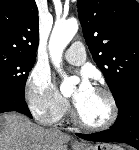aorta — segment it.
Here are the masks:
<instances>
[{"label":"aorta","mask_w":139,"mask_h":150,"mask_svg":"<svg viewBox=\"0 0 139 150\" xmlns=\"http://www.w3.org/2000/svg\"><path fill=\"white\" fill-rule=\"evenodd\" d=\"M78 30V22L75 18L57 21L52 30L49 40V52L53 64L60 69L62 53ZM76 80L66 78L60 86L61 93L65 96L71 95Z\"/></svg>","instance_id":"aorta-1"}]
</instances>
